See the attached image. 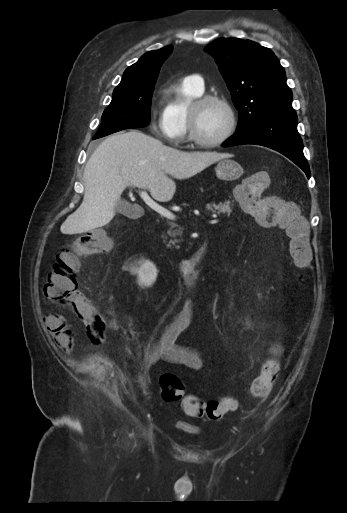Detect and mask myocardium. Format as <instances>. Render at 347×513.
I'll list each match as a JSON object with an SVG mask.
<instances>
[{
  "instance_id": "myocardium-1",
  "label": "myocardium",
  "mask_w": 347,
  "mask_h": 513,
  "mask_svg": "<svg viewBox=\"0 0 347 513\" xmlns=\"http://www.w3.org/2000/svg\"><path fill=\"white\" fill-rule=\"evenodd\" d=\"M217 103L222 105L227 114H228V125L225 132L217 139L214 140H205L200 137L197 132L196 122H195V112L201 106L208 103ZM237 125V117L236 112L232 106V104L223 96L216 94H202L201 96L193 99L188 107L187 112V128H188V136L190 140L198 146L204 148H214L222 145L226 142L235 132Z\"/></svg>"
}]
</instances>
